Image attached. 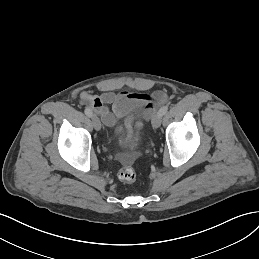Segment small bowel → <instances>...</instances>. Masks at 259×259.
<instances>
[{"mask_svg": "<svg viewBox=\"0 0 259 259\" xmlns=\"http://www.w3.org/2000/svg\"><path fill=\"white\" fill-rule=\"evenodd\" d=\"M101 90L103 92L99 96L83 91L80 98L83 103L100 116L106 126L115 128L116 133L120 131V127L116 123L117 119H124L129 143L133 141L135 133L142 129L143 121L151 117L156 104L167 100L166 94L162 92L149 97L128 91L115 93L106 87H101ZM138 109L142 110L141 117L136 112Z\"/></svg>", "mask_w": 259, "mask_h": 259, "instance_id": "small-bowel-1", "label": "small bowel"}]
</instances>
